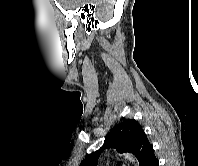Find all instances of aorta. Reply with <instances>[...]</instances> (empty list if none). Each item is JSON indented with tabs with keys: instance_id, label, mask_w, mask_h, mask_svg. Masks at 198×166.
<instances>
[{
	"instance_id": "obj_1",
	"label": "aorta",
	"mask_w": 198,
	"mask_h": 166,
	"mask_svg": "<svg viewBox=\"0 0 198 166\" xmlns=\"http://www.w3.org/2000/svg\"><path fill=\"white\" fill-rule=\"evenodd\" d=\"M124 157H125V159L127 161H129L130 163H132V165L138 166L137 160L131 154H125Z\"/></svg>"
}]
</instances>
